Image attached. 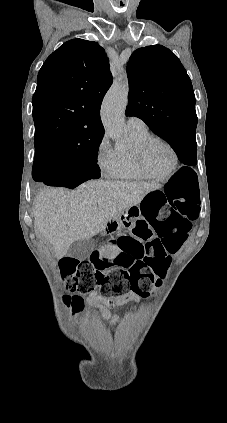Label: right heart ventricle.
Segmentation results:
<instances>
[{
    "label": "right heart ventricle",
    "instance_id": "1",
    "mask_svg": "<svg viewBox=\"0 0 227 423\" xmlns=\"http://www.w3.org/2000/svg\"><path fill=\"white\" fill-rule=\"evenodd\" d=\"M131 146L126 149H117L118 169L115 178L118 179H142L143 176L137 171L134 162V150L136 146L150 136L145 130H128Z\"/></svg>",
    "mask_w": 227,
    "mask_h": 423
}]
</instances>
